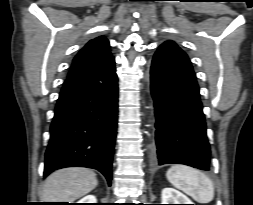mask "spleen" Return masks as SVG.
I'll use <instances>...</instances> for the list:
<instances>
[{
    "label": "spleen",
    "instance_id": "1",
    "mask_svg": "<svg viewBox=\"0 0 253 205\" xmlns=\"http://www.w3.org/2000/svg\"><path fill=\"white\" fill-rule=\"evenodd\" d=\"M168 181L195 201L206 204L214 198V184L204 173L186 165H173L166 173Z\"/></svg>",
    "mask_w": 253,
    "mask_h": 205
}]
</instances>
